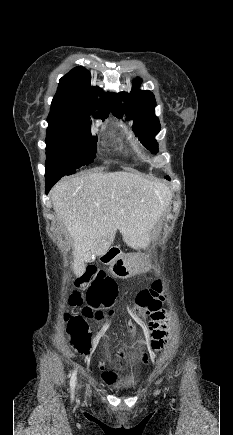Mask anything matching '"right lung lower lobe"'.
Wrapping results in <instances>:
<instances>
[{"instance_id":"right-lung-lower-lobe-1","label":"right lung lower lobe","mask_w":233,"mask_h":435,"mask_svg":"<svg viewBox=\"0 0 233 435\" xmlns=\"http://www.w3.org/2000/svg\"><path fill=\"white\" fill-rule=\"evenodd\" d=\"M60 179V177H54V178H46L45 181V189H46V193L48 194V192L50 191V189L53 187V185Z\"/></svg>"}]
</instances>
